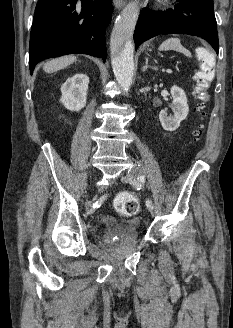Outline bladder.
Here are the masks:
<instances>
[{
    "mask_svg": "<svg viewBox=\"0 0 233 328\" xmlns=\"http://www.w3.org/2000/svg\"><path fill=\"white\" fill-rule=\"evenodd\" d=\"M127 236H130L132 245H136V243H137L136 235H134L132 233H127Z\"/></svg>",
    "mask_w": 233,
    "mask_h": 328,
    "instance_id": "bladder-1",
    "label": "bladder"
}]
</instances>
